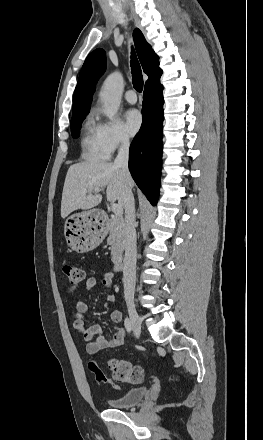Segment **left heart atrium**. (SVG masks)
Masks as SVG:
<instances>
[{
  "mask_svg": "<svg viewBox=\"0 0 263 440\" xmlns=\"http://www.w3.org/2000/svg\"><path fill=\"white\" fill-rule=\"evenodd\" d=\"M142 123V115L138 110L131 109L125 113L124 126L129 135H135L141 128Z\"/></svg>",
  "mask_w": 263,
  "mask_h": 440,
  "instance_id": "39dd6f15",
  "label": "left heart atrium"
}]
</instances>
